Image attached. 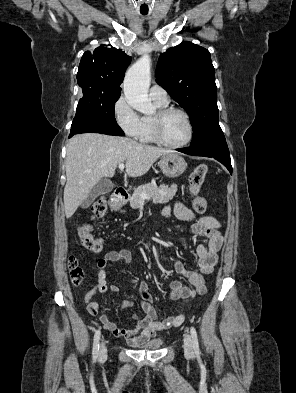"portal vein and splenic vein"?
<instances>
[{"instance_id":"obj_1","label":"portal vein and splenic vein","mask_w":296,"mask_h":393,"mask_svg":"<svg viewBox=\"0 0 296 393\" xmlns=\"http://www.w3.org/2000/svg\"><path fill=\"white\" fill-rule=\"evenodd\" d=\"M124 168H125L124 163H120V164H119V169H120L121 171H123ZM141 196H142V198H144V199H148V198H149L145 193H142Z\"/></svg>"}]
</instances>
